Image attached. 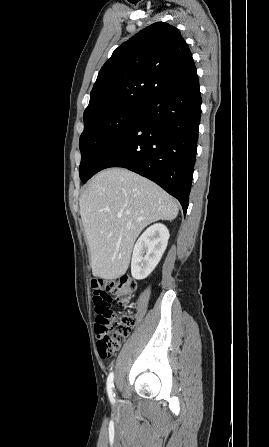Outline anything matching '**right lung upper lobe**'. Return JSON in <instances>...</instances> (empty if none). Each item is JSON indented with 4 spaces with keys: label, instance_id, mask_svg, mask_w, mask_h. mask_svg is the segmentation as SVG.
Wrapping results in <instances>:
<instances>
[{
    "label": "right lung upper lobe",
    "instance_id": "right-lung-upper-lobe-1",
    "mask_svg": "<svg viewBox=\"0 0 269 447\" xmlns=\"http://www.w3.org/2000/svg\"><path fill=\"white\" fill-rule=\"evenodd\" d=\"M194 64L179 30L154 23L119 46L101 68L84 111V122L141 104L183 76Z\"/></svg>",
    "mask_w": 269,
    "mask_h": 447
}]
</instances>
